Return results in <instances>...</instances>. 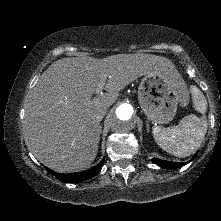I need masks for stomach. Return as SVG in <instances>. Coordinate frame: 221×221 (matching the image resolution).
<instances>
[{
	"label": "stomach",
	"instance_id": "0dacf381",
	"mask_svg": "<svg viewBox=\"0 0 221 221\" xmlns=\"http://www.w3.org/2000/svg\"><path fill=\"white\" fill-rule=\"evenodd\" d=\"M139 104L153 123H168L176 115L178 105L188 103L189 92L175 68L145 75L138 87Z\"/></svg>",
	"mask_w": 221,
	"mask_h": 221
}]
</instances>
